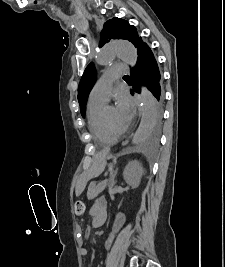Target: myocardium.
Returning a JSON list of instances; mask_svg holds the SVG:
<instances>
[{
	"instance_id": "f54148a6",
	"label": "myocardium",
	"mask_w": 225,
	"mask_h": 267,
	"mask_svg": "<svg viewBox=\"0 0 225 267\" xmlns=\"http://www.w3.org/2000/svg\"><path fill=\"white\" fill-rule=\"evenodd\" d=\"M106 109L107 107L104 108L103 113H102V120H103L104 127L108 131V133H110L111 135L115 136L118 139V137H120L126 132V128L115 129L114 127H112L106 118Z\"/></svg>"
}]
</instances>
